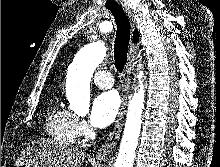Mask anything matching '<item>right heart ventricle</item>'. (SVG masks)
<instances>
[{"label":"right heart ventricle","instance_id":"1","mask_svg":"<svg viewBox=\"0 0 220 167\" xmlns=\"http://www.w3.org/2000/svg\"><path fill=\"white\" fill-rule=\"evenodd\" d=\"M46 132L61 145H73L77 138L73 126V114L58 105L52 106L46 120Z\"/></svg>","mask_w":220,"mask_h":167}]
</instances>
